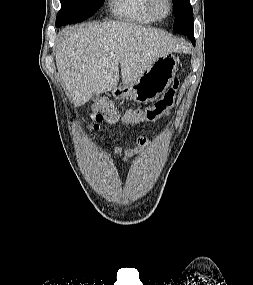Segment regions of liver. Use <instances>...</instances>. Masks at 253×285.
<instances>
[{
	"label": "liver",
	"mask_w": 253,
	"mask_h": 285,
	"mask_svg": "<svg viewBox=\"0 0 253 285\" xmlns=\"http://www.w3.org/2000/svg\"><path fill=\"white\" fill-rule=\"evenodd\" d=\"M59 36L56 65L75 107L93 92L114 89L119 65L122 82L129 84L159 57L185 48L166 32L119 21L66 27Z\"/></svg>",
	"instance_id": "1"
}]
</instances>
